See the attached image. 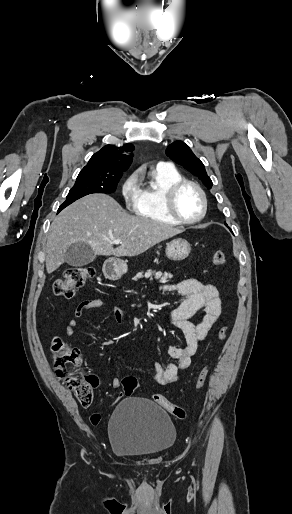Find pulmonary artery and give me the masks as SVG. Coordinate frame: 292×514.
Returning <instances> with one entry per match:
<instances>
[{
    "label": "pulmonary artery",
    "mask_w": 292,
    "mask_h": 514,
    "mask_svg": "<svg viewBox=\"0 0 292 514\" xmlns=\"http://www.w3.org/2000/svg\"><path fill=\"white\" fill-rule=\"evenodd\" d=\"M158 169L161 172H168L171 169V164L168 161H161L158 164Z\"/></svg>",
    "instance_id": "1"
}]
</instances>
